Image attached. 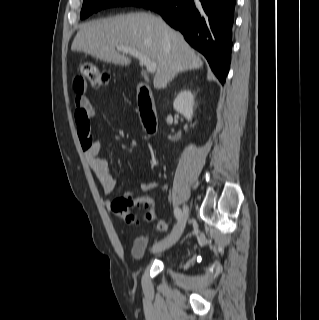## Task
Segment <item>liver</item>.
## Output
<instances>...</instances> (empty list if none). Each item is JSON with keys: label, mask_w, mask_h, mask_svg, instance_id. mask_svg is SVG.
Returning a JSON list of instances; mask_svg holds the SVG:
<instances>
[{"label": "liver", "mask_w": 319, "mask_h": 320, "mask_svg": "<svg viewBox=\"0 0 319 320\" xmlns=\"http://www.w3.org/2000/svg\"><path fill=\"white\" fill-rule=\"evenodd\" d=\"M117 46L132 47L157 64L154 87L162 89L179 73L199 69L203 62L184 40L160 17L150 13H131L83 24L71 45L102 61L128 66L131 59Z\"/></svg>", "instance_id": "1"}]
</instances>
